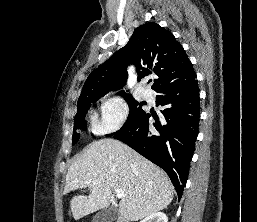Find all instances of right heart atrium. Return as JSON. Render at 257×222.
Returning <instances> with one entry per match:
<instances>
[{
	"label": "right heart atrium",
	"instance_id": "right-heart-atrium-1",
	"mask_svg": "<svg viewBox=\"0 0 257 222\" xmlns=\"http://www.w3.org/2000/svg\"><path fill=\"white\" fill-rule=\"evenodd\" d=\"M107 106L117 111L120 120L118 123L112 125H107L103 121L95 122L94 131L98 134H105L118 130L126 122L129 116V107L127 103L120 98L115 97L107 99L104 108Z\"/></svg>",
	"mask_w": 257,
	"mask_h": 222
}]
</instances>
